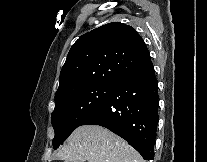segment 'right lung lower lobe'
<instances>
[{"label":"right lung lower lobe","mask_w":207,"mask_h":162,"mask_svg":"<svg viewBox=\"0 0 207 162\" xmlns=\"http://www.w3.org/2000/svg\"><path fill=\"white\" fill-rule=\"evenodd\" d=\"M158 104V83L150 61L121 77L80 126H103L125 139L144 160H153Z\"/></svg>","instance_id":"obj_1"}]
</instances>
